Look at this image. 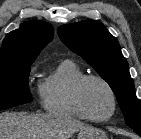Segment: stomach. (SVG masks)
<instances>
[{"label": "stomach", "instance_id": "1", "mask_svg": "<svg viewBox=\"0 0 141 139\" xmlns=\"http://www.w3.org/2000/svg\"><path fill=\"white\" fill-rule=\"evenodd\" d=\"M77 139H108L106 134L94 128L87 127L79 131Z\"/></svg>", "mask_w": 141, "mask_h": 139}]
</instances>
